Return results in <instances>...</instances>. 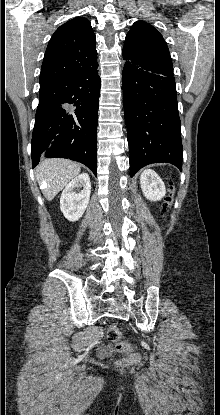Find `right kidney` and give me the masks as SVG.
I'll return each mask as SVG.
<instances>
[{"label": "right kidney", "instance_id": "right-kidney-1", "mask_svg": "<svg viewBox=\"0 0 220 415\" xmlns=\"http://www.w3.org/2000/svg\"><path fill=\"white\" fill-rule=\"evenodd\" d=\"M77 187H83L80 193L74 192ZM91 183L87 173L74 178L63 190L60 198V209L69 221L79 220L85 212L90 199Z\"/></svg>", "mask_w": 220, "mask_h": 415}]
</instances>
